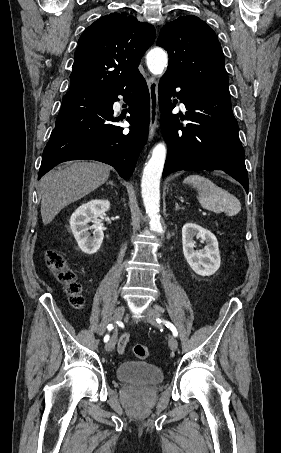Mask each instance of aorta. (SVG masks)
<instances>
[{"label":"aorta","instance_id":"aorta-1","mask_svg":"<svg viewBox=\"0 0 281 453\" xmlns=\"http://www.w3.org/2000/svg\"><path fill=\"white\" fill-rule=\"evenodd\" d=\"M149 71L155 76H161L168 64L167 53L161 48L151 49L146 56ZM165 143H158L152 150V155L146 163L141 181L142 198L146 213L150 218V229L162 232L160 223V179L166 159Z\"/></svg>","mask_w":281,"mask_h":453}]
</instances>
